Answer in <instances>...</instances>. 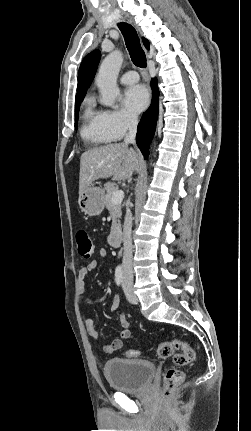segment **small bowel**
Here are the masks:
<instances>
[{
	"label": "small bowel",
	"instance_id": "1",
	"mask_svg": "<svg viewBox=\"0 0 251 431\" xmlns=\"http://www.w3.org/2000/svg\"><path fill=\"white\" fill-rule=\"evenodd\" d=\"M99 255L101 257H105L107 255V250L105 248H100L98 251ZM99 266L98 261L93 260L89 262L88 264L82 266L78 270L77 274V296L78 300L81 301L85 292V279L88 276L89 273H91L93 270H95ZM120 300L117 295L114 296L112 300L111 310L113 312H116L119 309ZM85 327L87 329L88 334L94 338H99V331L98 326L95 322V320L92 317L84 316L83 318ZM119 322L121 325V331L116 339H114L111 342L106 343L102 348V352L105 354H112L119 349L122 348L123 340L129 339L131 336V330H130V322L126 318V316L121 313L119 315Z\"/></svg>",
	"mask_w": 251,
	"mask_h": 431
}]
</instances>
